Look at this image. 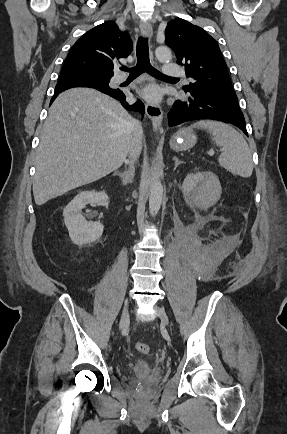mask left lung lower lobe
Wrapping results in <instances>:
<instances>
[{
	"label": "left lung lower lobe",
	"mask_w": 287,
	"mask_h": 434,
	"mask_svg": "<svg viewBox=\"0 0 287 434\" xmlns=\"http://www.w3.org/2000/svg\"><path fill=\"white\" fill-rule=\"evenodd\" d=\"M168 117L169 126H176L190 120L213 119L231 123L248 135L237 96L192 90L188 92L186 100L174 102Z\"/></svg>",
	"instance_id": "0a47b994"
}]
</instances>
